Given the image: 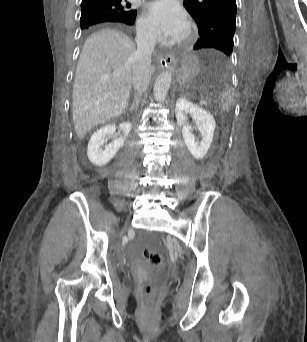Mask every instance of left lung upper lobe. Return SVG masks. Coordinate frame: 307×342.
Segmentation results:
<instances>
[{
  "label": "left lung upper lobe",
  "mask_w": 307,
  "mask_h": 342,
  "mask_svg": "<svg viewBox=\"0 0 307 342\" xmlns=\"http://www.w3.org/2000/svg\"><path fill=\"white\" fill-rule=\"evenodd\" d=\"M184 6L199 29L194 49L214 48L230 56L236 29V0H186Z\"/></svg>",
  "instance_id": "obj_1"
}]
</instances>
